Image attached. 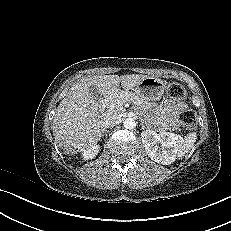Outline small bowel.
<instances>
[{
  "label": "small bowel",
  "instance_id": "obj_1",
  "mask_svg": "<svg viewBox=\"0 0 231 231\" xmlns=\"http://www.w3.org/2000/svg\"><path fill=\"white\" fill-rule=\"evenodd\" d=\"M186 108L187 105L185 103H176L167 100L158 107L157 111L159 113L161 123L166 127L173 128L177 124L178 115Z\"/></svg>",
  "mask_w": 231,
  "mask_h": 231
}]
</instances>
